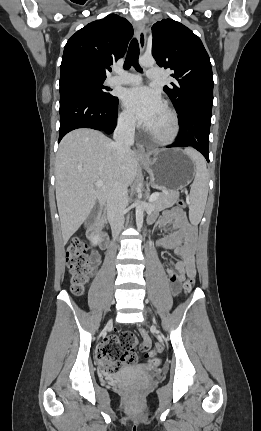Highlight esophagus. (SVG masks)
Listing matches in <instances>:
<instances>
[{"label":"esophagus","mask_w":261,"mask_h":431,"mask_svg":"<svg viewBox=\"0 0 261 431\" xmlns=\"http://www.w3.org/2000/svg\"><path fill=\"white\" fill-rule=\"evenodd\" d=\"M136 35L138 38L140 51L141 53H143L146 46V29L142 23L137 24ZM137 151L140 156H146V150L142 144L140 143L137 144Z\"/></svg>","instance_id":"34e87169"}]
</instances>
